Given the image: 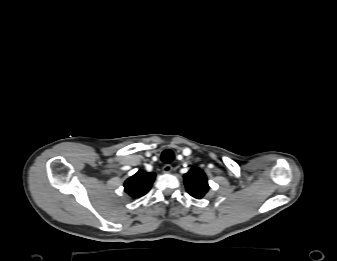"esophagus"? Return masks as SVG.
<instances>
[{
  "label": "esophagus",
  "mask_w": 337,
  "mask_h": 261,
  "mask_svg": "<svg viewBox=\"0 0 337 261\" xmlns=\"http://www.w3.org/2000/svg\"><path fill=\"white\" fill-rule=\"evenodd\" d=\"M164 173H170L173 170V167L170 164H165L162 168Z\"/></svg>",
  "instance_id": "34e87169"
}]
</instances>
